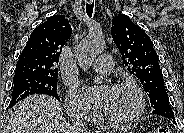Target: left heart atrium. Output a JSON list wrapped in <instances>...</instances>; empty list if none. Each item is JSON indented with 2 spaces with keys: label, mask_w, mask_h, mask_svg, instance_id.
Returning a JSON list of instances; mask_svg holds the SVG:
<instances>
[{
  "label": "left heart atrium",
  "mask_w": 184,
  "mask_h": 133,
  "mask_svg": "<svg viewBox=\"0 0 184 133\" xmlns=\"http://www.w3.org/2000/svg\"><path fill=\"white\" fill-rule=\"evenodd\" d=\"M112 89L109 86L90 88L87 90V96L98 109L103 110L111 97Z\"/></svg>",
  "instance_id": "1"
}]
</instances>
